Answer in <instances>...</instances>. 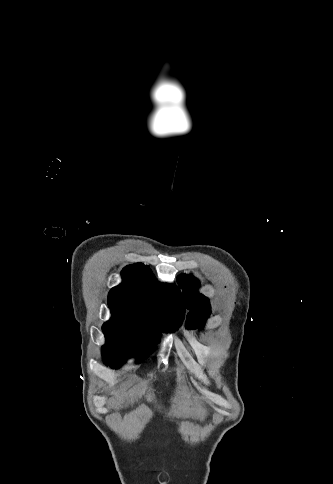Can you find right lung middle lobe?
I'll use <instances>...</instances> for the list:
<instances>
[{
    "mask_svg": "<svg viewBox=\"0 0 333 484\" xmlns=\"http://www.w3.org/2000/svg\"><path fill=\"white\" fill-rule=\"evenodd\" d=\"M103 333L106 344L102 347L104 362L111 368H119L128 356L140 354L138 362L144 360L159 341V336L144 331L140 326L130 323L106 322ZM176 329H171L173 331Z\"/></svg>",
    "mask_w": 333,
    "mask_h": 484,
    "instance_id": "dd1d6c3e",
    "label": "right lung middle lobe"
}]
</instances>
